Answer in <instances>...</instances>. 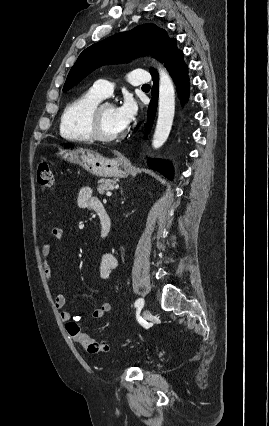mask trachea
Returning <instances> with one entry per match:
<instances>
[{
    "mask_svg": "<svg viewBox=\"0 0 269 426\" xmlns=\"http://www.w3.org/2000/svg\"><path fill=\"white\" fill-rule=\"evenodd\" d=\"M142 87H143V88H150V85H149V84H145V85H143Z\"/></svg>",
    "mask_w": 269,
    "mask_h": 426,
    "instance_id": "1",
    "label": "trachea"
}]
</instances>
